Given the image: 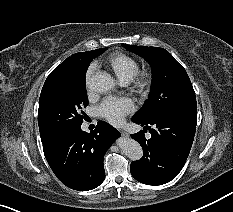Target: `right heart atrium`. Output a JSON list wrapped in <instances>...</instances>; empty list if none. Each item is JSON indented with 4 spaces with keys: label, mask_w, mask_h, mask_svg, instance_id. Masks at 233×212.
Here are the masks:
<instances>
[{
    "label": "right heart atrium",
    "mask_w": 233,
    "mask_h": 212,
    "mask_svg": "<svg viewBox=\"0 0 233 212\" xmlns=\"http://www.w3.org/2000/svg\"><path fill=\"white\" fill-rule=\"evenodd\" d=\"M94 70H95V67L91 65L89 66L85 74V85H86L88 92H90L91 90V81H92Z\"/></svg>",
    "instance_id": "right-heart-atrium-1"
}]
</instances>
